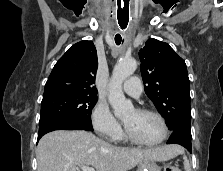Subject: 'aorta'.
<instances>
[{
	"instance_id": "762f6f07",
	"label": "aorta",
	"mask_w": 223,
	"mask_h": 171,
	"mask_svg": "<svg viewBox=\"0 0 223 171\" xmlns=\"http://www.w3.org/2000/svg\"><path fill=\"white\" fill-rule=\"evenodd\" d=\"M137 69L135 59H122L114 67L109 83V103L117 117H122L133 110L132 103L125 98L122 83Z\"/></svg>"
}]
</instances>
